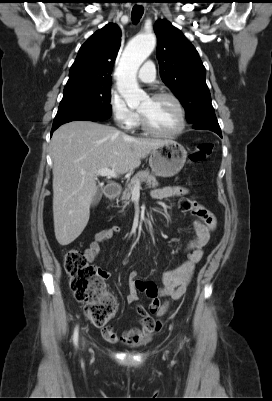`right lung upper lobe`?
Here are the masks:
<instances>
[{
	"label": "right lung upper lobe",
	"instance_id": "obj_1",
	"mask_svg": "<svg viewBox=\"0 0 272 401\" xmlns=\"http://www.w3.org/2000/svg\"><path fill=\"white\" fill-rule=\"evenodd\" d=\"M121 30L109 23L79 49L64 91L112 83L111 71L120 48Z\"/></svg>",
	"mask_w": 272,
	"mask_h": 401
}]
</instances>
